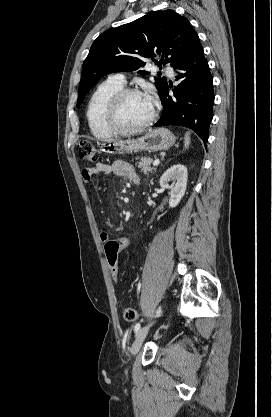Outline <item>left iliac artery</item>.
Returning a JSON list of instances; mask_svg holds the SVG:
<instances>
[{"mask_svg":"<svg viewBox=\"0 0 272 417\" xmlns=\"http://www.w3.org/2000/svg\"><path fill=\"white\" fill-rule=\"evenodd\" d=\"M161 313V307L158 308L157 312H156V316H159ZM140 329V323H136V325L134 326V332L137 333Z\"/></svg>","mask_w":272,"mask_h":417,"instance_id":"1","label":"left iliac artery"}]
</instances>
